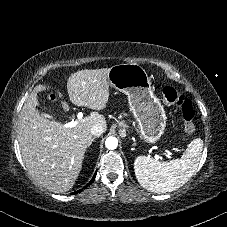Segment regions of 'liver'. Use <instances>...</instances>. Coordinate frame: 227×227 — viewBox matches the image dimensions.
<instances>
[{
  "mask_svg": "<svg viewBox=\"0 0 227 227\" xmlns=\"http://www.w3.org/2000/svg\"><path fill=\"white\" fill-rule=\"evenodd\" d=\"M110 68L80 70L67 80L70 101L76 106L92 110L89 116L77 121L73 128L46 116L37 110L38 93L51 89L38 85L28 96L19 120L18 140L24 165L39 185L54 193L69 191L82 168L87 147L92 144L91 128L102 124L105 117L98 111L106 108L110 96L108 73ZM61 98L62 95L58 93ZM63 111L69 106L61 101ZM71 118H74L72 116Z\"/></svg>",
  "mask_w": 227,
  "mask_h": 227,
  "instance_id": "6515ba94",
  "label": "liver"
}]
</instances>
